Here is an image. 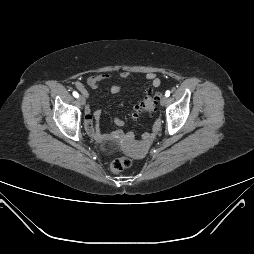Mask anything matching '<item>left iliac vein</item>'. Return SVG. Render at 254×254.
Masks as SVG:
<instances>
[{"label":"left iliac vein","instance_id":"4c4485c4","mask_svg":"<svg viewBox=\"0 0 254 254\" xmlns=\"http://www.w3.org/2000/svg\"><path fill=\"white\" fill-rule=\"evenodd\" d=\"M167 101H168V99H167V97H166L165 95L161 96L160 104H161L162 106H165L166 103H167Z\"/></svg>","mask_w":254,"mask_h":254}]
</instances>
